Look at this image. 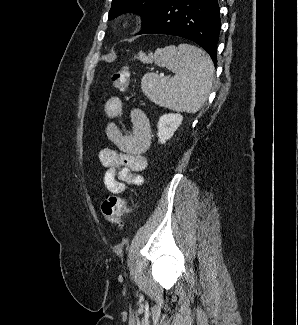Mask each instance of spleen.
I'll return each instance as SVG.
<instances>
[{
  "label": "spleen",
  "mask_w": 298,
  "mask_h": 325,
  "mask_svg": "<svg viewBox=\"0 0 298 325\" xmlns=\"http://www.w3.org/2000/svg\"><path fill=\"white\" fill-rule=\"evenodd\" d=\"M134 58L141 62H155L175 72L172 78L146 72L141 88L151 102L178 112H197L209 96L214 64L204 50L192 44H170L154 52L139 50Z\"/></svg>",
  "instance_id": "spleen-1"
}]
</instances>
